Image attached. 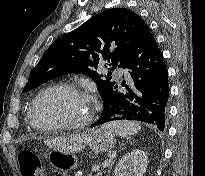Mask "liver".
<instances>
[{"instance_id": "1", "label": "liver", "mask_w": 205, "mask_h": 176, "mask_svg": "<svg viewBox=\"0 0 205 176\" xmlns=\"http://www.w3.org/2000/svg\"><path fill=\"white\" fill-rule=\"evenodd\" d=\"M91 131L75 134L66 138L47 140L46 144L54 149L68 152L82 150L90 141Z\"/></svg>"}]
</instances>
